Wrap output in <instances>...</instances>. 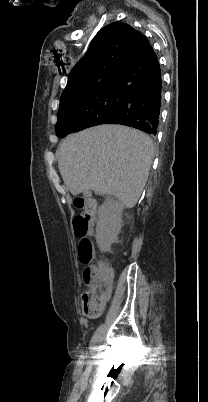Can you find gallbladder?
Instances as JSON below:
<instances>
[{"label":"gallbladder","instance_id":"obj_1","mask_svg":"<svg viewBox=\"0 0 208 402\" xmlns=\"http://www.w3.org/2000/svg\"><path fill=\"white\" fill-rule=\"evenodd\" d=\"M83 196H84V198L89 199V198H91L92 193H91V191L86 190V191H84Z\"/></svg>","mask_w":208,"mask_h":402}]
</instances>
